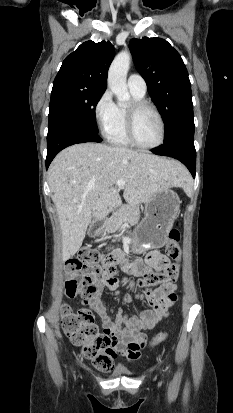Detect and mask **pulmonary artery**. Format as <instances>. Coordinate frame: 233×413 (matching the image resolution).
I'll return each instance as SVG.
<instances>
[{
	"label": "pulmonary artery",
	"instance_id": "e3ab8cb5",
	"mask_svg": "<svg viewBox=\"0 0 233 413\" xmlns=\"http://www.w3.org/2000/svg\"><path fill=\"white\" fill-rule=\"evenodd\" d=\"M127 86L130 92L139 96H145L147 92V85L144 78L139 74H131L127 80Z\"/></svg>",
	"mask_w": 233,
	"mask_h": 413
}]
</instances>
